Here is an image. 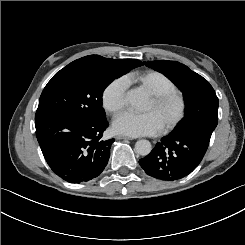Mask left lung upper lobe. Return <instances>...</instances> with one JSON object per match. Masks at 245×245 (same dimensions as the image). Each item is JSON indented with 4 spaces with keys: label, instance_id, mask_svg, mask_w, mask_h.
Wrapping results in <instances>:
<instances>
[{
    "label": "left lung upper lobe",
    "instance_id": "left-lung-upper-lobe-1",
    "mask_svg": "<svg viewBox=\"0 0 245 245\" xmlns=\"http://www.w3.org/2000/svg\"><path fill=\"white\" fill-rule=\"evenodd\" d=\"M158 72L168 77L182 92L185 101V112L197 110V103L211 92H215L209 82L186 65L176 61L156 60L144 62Z\"/></svg>",
    "mask_w": 245,
    "mask_h": 245
}]
</instances>
